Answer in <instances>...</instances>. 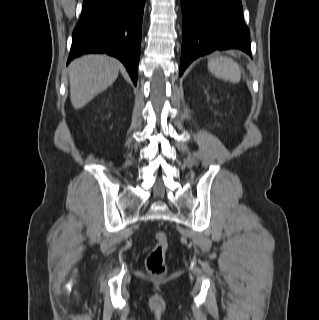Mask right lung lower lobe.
Returning <instances> with one entry per match:
<instances>
[{
  "mask_svg": "<svg viewBox=\"0 0 319 320\" xmlns=\"http://www.w3.org/2000/svg\"><path fill=\"white\" fill-rule=\"evenodd\" d=\"M145 2L83 0L68 63L84 53H107L123 62L136 85Z\"/></svg>",
  "mask_w": 319,
  "mask_h": 320,
  "instance_id": "98d812e1",
  "label": "right lung lower lobe"
}]
</instances>
